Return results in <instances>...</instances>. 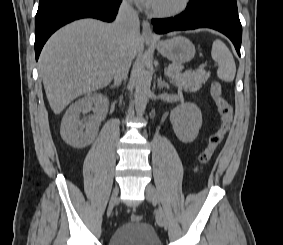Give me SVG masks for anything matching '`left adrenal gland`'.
<instances>
[{
    "instance_id": "1",
    "label": "left adrenal gland",
    "mask_w": 283,
    "mask_h": 245,
    "mask_svg": "<svg viewBox=\"0 0 283 245\" xmlns=\"http://www.w3.org/2000/svg\"><path fill=\"white\" fill-rule=\"evenodd\" d=\"M158 88L162 89V88H167L169 89L170 86L168 85V83H166L165 81H162L161 77L158 79Z\"/></svg>"
}]
</instances>
